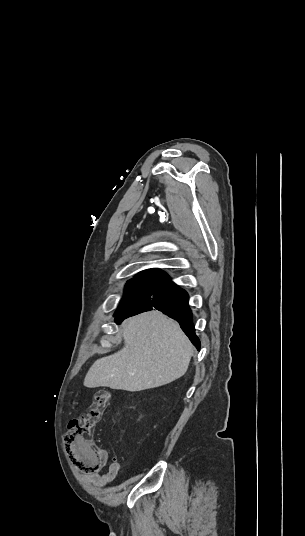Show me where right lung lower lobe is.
<instances>
[{"label": "right lung lower lobe", "instance_id": "obj_1", "mask_svg": "<svg viewBox=\"0 0 305 536\" xmlns=\"http://www.w3.org/2000/svg\"><path fill=\"white\" fill-rule=\"evenodd\" d=\"M188 300L189 296L187 292L176 286L169 278H167L128 308L122 312L115 313V321L120 324V322L127 317L150 311L155 308L169 317L176 319L182 330L199 350L200 341L195 335L192 311L188 305Z\"/></svg>", "mask_w": 305, "mask_h": 536}]
</instances>
